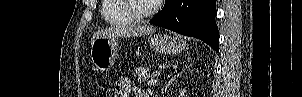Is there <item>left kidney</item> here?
<instances>
[{"mask_svg":"<svg viewBox=\"0 0 302 97\" xmlns=\"http://www.w3.org/2000/svg\"><path fill=\"white\" fill-rule=\"evenodd\" d=\"M186 92H187L186 89L183 90L181 89L179 97H184Z\"/></svg>","mask_w":302,"mask_h":97,"instance_id":"left-kidney-1","label":"left kidney"}]
</instances>
